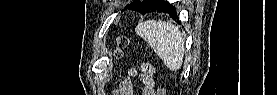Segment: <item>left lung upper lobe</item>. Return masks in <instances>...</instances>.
<instances>
[{"label":"left lung upper lobe","instance_id":"obj_1","mask_svg":"<svg viewBox=\"0 0 277 95\" xmlns=\"http://www.w3.org/2000/svg\"><path fill=\"white\" fill-rule=\"evenodd\" d=\"M163 2H164V0H152L151 4H152V7H156V6L161 5ZM128 6H129V5H128ZM128 6H127V7H128ZM127 7H125V9H126Z\"/></svg>","mask_w":277,"mask_h":95}]
</instances>
